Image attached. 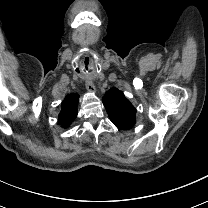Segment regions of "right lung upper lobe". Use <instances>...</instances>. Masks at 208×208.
I'll return each mask as SVG.
<instances>
[{
  "label": "right lung upper lobe",
  "mask_w": 208,
  "mask_h": 208,
  "mask_svg": "<svg viewBox=\"0 0 208 208\" xmlns=\"http://www.w3.org/2000/svg\"><path fill=\"white\" fill-rule=\"evenodd\" d=\"M79 95L69 94L61 104V112L58 116V122L63 127H68L77 116V104Z\"/></svg>",
  "instance_id": "right-lung-upper-lobe-1"
}]
</instances>
